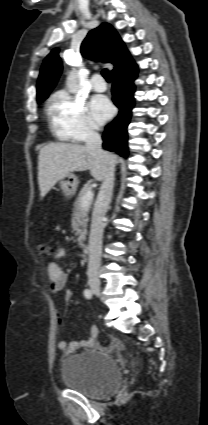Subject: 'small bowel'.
I'll return each instance as SVG.
<instances>
[{
  "mask_svg": "<svg viewBox=\"0 0 208 425\" xmlns=\"http://www.w3.org/2000/svg\"><path fill=\"white\" fill-rule=\"evenodd\" d=\"M66 255V251L63 248H59L55 253V258L60 259ZM46 271L49 278L50 289L52 293L61 292L67 282H68V273L71 271L70 268H63L55 261H50L46 265ZM57 321L61 322V317L57 315ZM98 329L93 326L90 329V333L87 339H81L77 341L68 342L66 340H61L58 342V348L65 352L66 354H71L77 350L85 347H92L97 342ZM119 345V342H115Z\"/></svg>",
  "mask_w": 208,
  "mask_h": 425,
  "instance_id": "1",
  "label": "small bowel"
}]
</instances>
